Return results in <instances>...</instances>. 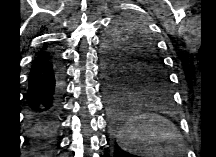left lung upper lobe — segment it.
<instances>
[{"instance_id": "obj_1", "label": "left lung upper lobe", "mask_w": 216, "mask_h": 157, "mask_svg": "<svg viewBox=\"0 0 216 157\" xmlns=\"http://www.w3.org/2000/svg\"><path fill=\"white\" fill-rule=\"evenodd\" d=\"M109 76L121 75L136 95L167 97L170 79L155 40L137 18L115 21L103 37Z\"/></svg>"}]
</instances>
